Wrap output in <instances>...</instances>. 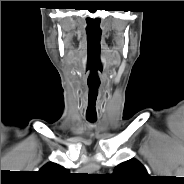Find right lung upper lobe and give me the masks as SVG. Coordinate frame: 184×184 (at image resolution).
Here are the masks:
<instances>
[{
  "instance_id": "right-lung-upper-lobe-1",
  "label": "right lung upper lobe",
  "mask_w": 184,
  "mask_h": 184,
  "mask_svg": "<svg viewBox=\"0 0 184 184\" xmlns=\"http://www.w3.org/2000/svg\"><path fill=\"white\" fill-rule=\"evenodd\" d=\"M39 172L49 182H62L69 174L68 169L53 162L44 165Z\"/></svg>"
}]
</instances>
